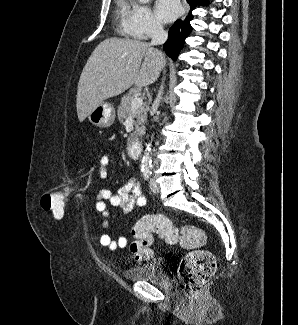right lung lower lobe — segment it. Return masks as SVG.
Listing matches in <instances>:
<instances>
[{
    "instance_id": "right-lung-lower-lobe-1",
    "label": "right lung lower lobe",
    "mask_w": 298,
    "mask_h": 325,
    "mask_svg": "<svg viewBox=\"0 0 298 325\" xmlns=\"http://www.w3.org/2000/svg\"><path fill=\"white\" fill-rule=\"evenodd\" d=\"M190 5V12L187 18L182 20H177L172 27L169 29V37L165 42L163 48L166 54L172 58L173 60L177 59V56L182 49L185 39L189 36L192 31V27L190 25V21L193 19L192 10L198 5H208V0H187Z\"/></svg>"
}]
</instances>
